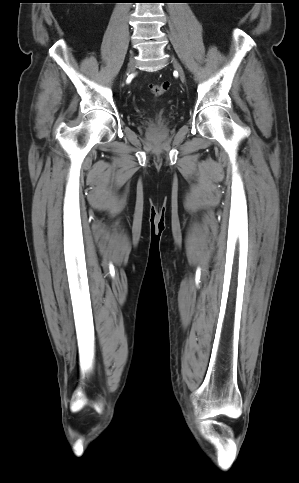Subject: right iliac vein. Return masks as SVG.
<instances>
[{
	"instance_id": "1",
	"label": "right iliac vein",
	"mask_w": 299,
	"mask_h": 483,
	"mask_svg": "<svg viewBox=\"0 0 299 483\" xmlns=\"http://www.w3.org/2000/svg\"><path fill=\"white\" fill-rule=\"evenodd\" d=\"M135 67V61L133 55L130 58L129 65H128V72H132Z\"/></svg>"
}]
</instances>
